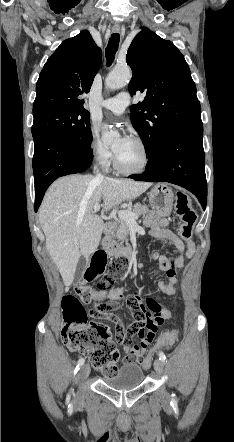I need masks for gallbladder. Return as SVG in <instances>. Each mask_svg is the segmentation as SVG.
Instances as JSON below:
<instances>
[{"label":"gallbladder","mask_w":234,"mask_h":442,"mask_svg":"<svg viewBox=\"0 0 234 442\" xmlns=\"http://www.w3.org/2000/svg\"><path fill=\"white\" fill-rule=\"evenodd\" d=\"M86 267H87L86 258L82 256L78 261L76 271L74 274V278H75L76 282H80L82 280V276L84 274V271L86 270Z\"/></svg>","instance_id":"obj_1"}]
</instances>
